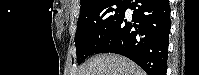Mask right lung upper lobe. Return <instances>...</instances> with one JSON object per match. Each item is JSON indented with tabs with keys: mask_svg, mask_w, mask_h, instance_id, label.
Returning <instances> with one entry per match:
<instances>
[{
	"mask_svg": "<svg viewBox=\"0 0 199 75\" xmlns=\"http://www.w3.org/2000/svg\"><path fill=\"white\" fill-rule=\"evenodd\" d=\"M106 0H81V10L80 12L82 11H85V10H88L102 2H104Z\"/></svg>",
	"mask_w": 199,
	"mask_h": 75,
	"instance_id": "cb5924a9",
	"label": "right lung upper lobe"
}]
</instances>
